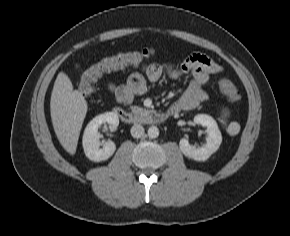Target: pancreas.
Wrapping results in <instances>:
<instances>
[{"mask_svg": "<svg viewBox=\"0 0 290 236\" xmlns=\"http://www.w3.org/2000/svg\"><path fill=\"white\" fill-rule=\"evenodd\" d=\"M131 109H132V112H134L136 114H143L144 113V110L140 107H137V106H132Z\"/></svg>", "mask_w": 290, "mask_h": 236, "instance_id": "cf45deb5", "label": "pancreas"}]
</instances>
